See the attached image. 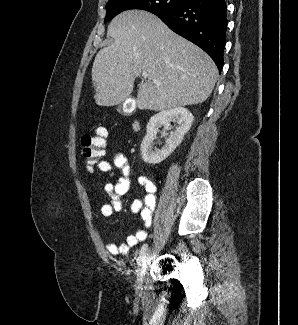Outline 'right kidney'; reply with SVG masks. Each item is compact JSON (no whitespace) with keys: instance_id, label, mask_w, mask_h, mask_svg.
I'll list each match as a JSON object with an SVG mask.
<instances>
[{"instance_id":"obj_1","label":"right kidney","mask_w":298,"mask_h":325,"mask_svg":"<svg viewBox=\"0 0 298 325\" xmlns=\"http://www.w3.org/2000/svg\"><path fill=\"white\" fill-rule=\"evenodd\" d=\"M194 116L188 108H169V110H161L157 114H153L149 118V122L146 126V134L141 142V154L144 163H150V165H157V163H162L166 156H169L173 152L174 148L180 144L183 140L185 132H188ZM171 122H177L176 130L166 138L165 146L163 148H156L153 150V140L159 132V128L164 126L162 130V136H166V128H170Z\"/></svg>"}]
</instances>
